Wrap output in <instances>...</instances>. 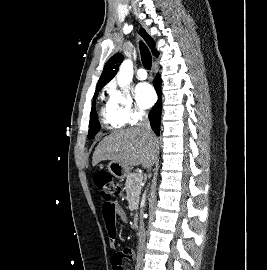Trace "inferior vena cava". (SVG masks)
<instances>
[{
	"mask_svg": "<svg viewBox=\"0 0 267 270\" xmlns=\"http://www.w3.org/2000/svg\"><path fill=\"white\" fill-rule=\"evenodd\" d=\"M138 126L143 129L148 134H152L151 126L148 120V116L146 113L141 114L140 121ZM140 215H143V210L140 211ZM145 238L146 232L144 228V223L141 220L140 222V231H139V241H138V251H137V265L141 266L143 264V256H144V249H145Z\"/></svg>",
	"mask_w": 267,
	"mask_h": 270,
	"instance_id": "602c4592",
	"label": "inferior vena cava"
}]
</instances>
